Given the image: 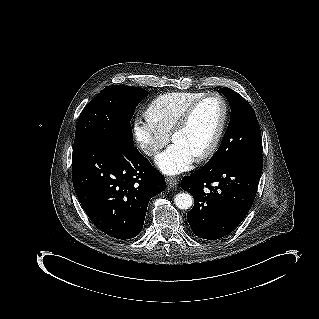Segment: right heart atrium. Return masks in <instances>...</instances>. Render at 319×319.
Listing matches in <instances>:
<instances>
[{"label": "right heart atrium", "instance_id": "1", "mask_svg": "<svg viewBox=\"0 0 319 319\" xmlns=\"http://www.w3.org/2000/svg\"><path fill=\"white\" fill-rule=\"evenodd\" d=\"M135 135L138 144L152 153H157L167 143V138L162 131L150 128L147 125L137 126Z\"/></svg>", "mask_w": 319, "mask_h": 319}]
</instances>
